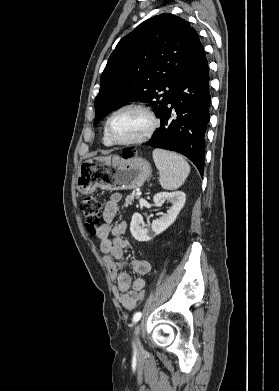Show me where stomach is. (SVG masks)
Listing matches in <instances>:
<instances>
[{"mask_svg":"<svg viewBox=\"0 0 279 391\" xmlns=\"http://www.w3.org/2000/svg\"><path fill=\"white\" fill-rule=\"evenodd\" d=\"M151 173L149 162L140 157H97L80 165L76 185L79 192L85 195L92 194L97 188L107 191L130 190L141 187Z\"/></svg>","mask_w":279,"mask_h":391,"instance_id":"obj_1","label":"stomach"}]
</instances>
